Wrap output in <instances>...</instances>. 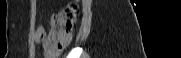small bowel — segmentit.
I'll return each mask as SVG.
<instances>
[{"mask_svg":"<svg viewBox=\"0 0 181 58\" xmlns=\"http://www.w3.org/2000/svg\"><path fill=\"white\" fill-rule=\"evenodd\" d=\"M46 39V31L43 25L39 24L36 28L35 32V41L36 42H43Z\"/></svg>","mask_w":181,"mask_h":58,"instance_id":"obj_1","label":"small bowel"}]
</instances>
